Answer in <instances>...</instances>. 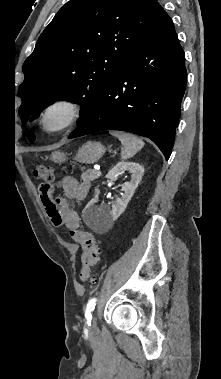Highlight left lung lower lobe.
<instances>
[{
  "instance_id": "obj_1",
  "label": "left lung lower lobe",
  "mask_w": 221,
  "mask_h": 379,
  "mask_svg": "<svg viewBox=\"0 0 221 379\" xmlns=\"http://www.w3.org/2000/svg\"><path fill=\"white\" fill-rule=\"evenodd\" d=\"M187 71L172 20L158 23L106 82L69 139L121 130L151 139L168 159L181 115Z\"/></svg>"
}]
</instances>
